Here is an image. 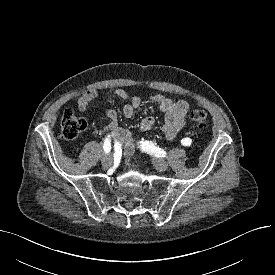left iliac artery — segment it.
<instances>
[{
	"label": "left iliac artery",
	"instance_id": "1",
	"mask_svg": "<svg viewBox=\"0 0 275 275\" xmlns=\"http://www.w3.org/2000/svg\"><path fill=\"white\" fill-rule=\"evenodd\" d=\"M181 144L183 146L188 147L192 144V140L188 137L184 138V139L181 140ZM141 148L143 150H147V151H155V149H156L155 145L151 142H148V141L142 142Z\"/></svg>",
	"mask_w": 275,
	"mask_h": 275
}]
</instances>
